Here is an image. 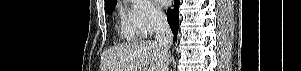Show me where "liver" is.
Masks as SVG:
<instances>
[{"instance_id": "liver-1", "label": "liver", "mask_w": 301, "mask_h": 71, "mask_svg": "<svg viewBox=\"0 0 301 71\" xmlns=\"http://www.w3.org/2000/svg\"><path fill=\"white\" fill-rule=\"evenodd\" d=\"M170 55H163L155 42L122 44L102 54L101 71H165Z\"/></svg>"}]
</instances>
